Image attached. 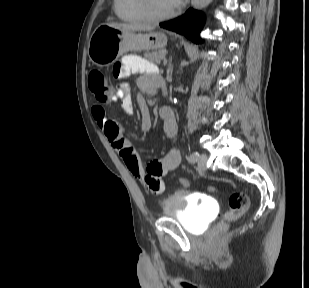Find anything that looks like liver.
<instances>
[{
	"instance_id": "1",
	"label": "liver",
	"mask_w": 309,
	"mask_h": 288,
	"mask_svg": "<svg viewBox=\"0 0 309 288\" xmlns=\"http://www.w3.org/2000/svg\"><path fill=\"white\" fill-rule=\"evenodd\" d=\"M110 26L130 31H150L153 28L141 24L109 23Z\"/></svg>"
}]
</instances>
